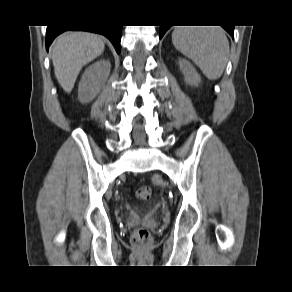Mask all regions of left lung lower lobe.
I'll use <instances>...</instances> for the list:
<instances>
[{"instance_id":"left-lung-lower-lobe-1","label":"left lung lower lobe","mask_w":292,"mask_h":292,"mask_svg":"<svg viewBox=\"0 0 292 292\" xmlns=\"http://www.w3.org/2000/svg\"><path fill=\"white\" fill-rule=\"evenodd\" d=\"M171 26H160V38L165 34V32L170 28ZM225 30L233 37L234 32V26H222Z\"/></svg>"}]
</instances>
